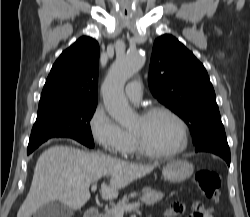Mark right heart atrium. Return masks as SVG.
<instances>
[{
  "label": "right heart atrium",
  "mask_w": 250,
  "mask_h": 217,
  "mask_svg": "<svg viewBox=\"0 0 250 217\" xmlns=\"http://www.w3.org/2000/svg\"><path fill=\"white\" fill-rule=\"evenodd\" d=\"M89 132L93 140L107 153L124 154L128 147L126 132L115 122L102 105H97L89 120Z\"/></svg>",
  "instance_id": "obj_1"
}]
</instances>
